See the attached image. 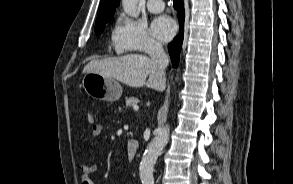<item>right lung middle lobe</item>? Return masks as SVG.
I'll return each instance as SVG.
<instances>
[{
    "instance_id": "1",
    "label": "right lung middle lobe",
    "mask_w": 293,
    "mask_h": 184,
    "mask_svg": "<svg viewBox=\"0 0 293 184\" xmlns=\"http://www.w3.org/2000/svg\"><path fill=\"white\" fill-rule=\"evenodd\" d=\"M104 27H105V24L95 26V34L99 35L100 33H102V31L104 30Z\"/></svg>"
}]
</instances>
